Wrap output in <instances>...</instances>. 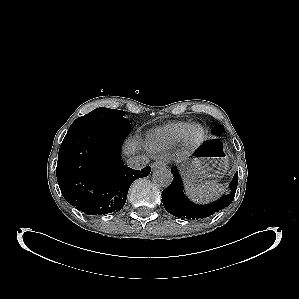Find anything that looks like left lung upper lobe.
Instances as JSON below:
<instances>
[{
	"label": "left lung upper lobe",
	"instance_id": "1",
	"mask_svg": "<svg viewBox=\"0 0 299 299\" xmlns=\"http://www.w3.org/2000/svg\"><path fill=\"white\" fill-rule=\"evenodd\" d=\"M222 131H223V126H221L220 124H217L212 130L213 133L218 135H220Z\"/></svg>",
	"mask_w": 299,
	"mask_h": 299
}]
</instances>
